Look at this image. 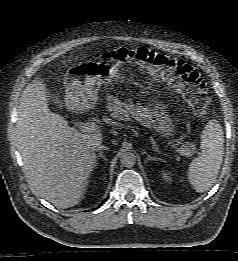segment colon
Masks as SVG:
<instances>
[{
	"label": "colon",
	"instance_id": "1",
	"mask_svg": "<svg viewBox=\"0 0 238 261\" xmlns=\"http://www.w3.org/2000/svg\"><path fill=\"white\" fill-rule=\"evenodd\" d=\"M106 57L135 66L172 83L199 118L209 116L211 100L205 83L199 73L185 61L146 48H115L108 51Z\"/></svg>",
	"mask_w": 238,
	"mask_h": 261
}]
</instances>
